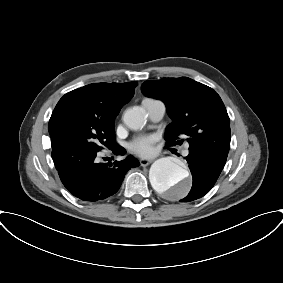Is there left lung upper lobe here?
<instances>
[{"label": "left lung upper lobe", "instance_id": "left-lung-upper-lobe-1", "mask_svg": "<svg viewBox=\"0 0 283 283\" xmlns=\"http://www.w3.org/2000/svg\"><path fill=\"white\" fill-rule=\"evenodd\" d=\"M146 96L163 100L172 122L166 127L167 146L186 137L189 153L211 163L225 164L230 148V120L220 96L210 87L187 77L145 81Z\"/></svg>", "mask_w": 283, "mask_h": 283}]
</instances>
